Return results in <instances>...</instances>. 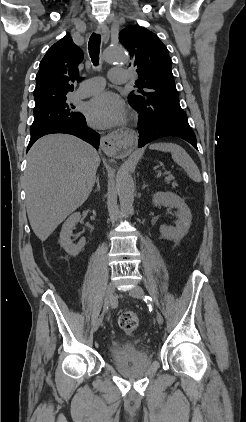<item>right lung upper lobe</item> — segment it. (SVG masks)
Segmentation results:
<instances>
[{
    "label": "right lung upper lobe",
    "mask_w": 246,
    "mask_h": 422,
    "mask_svg": "<svg viewBox=\"0 0 246 422\" xmlns=\"http://www.w3.org/2000/svg\"><path fill=\"white\" fill-rule=\"evenodd\" d=\"M83 59L82 50L66 35L47 51L39 65L34 90L35 108L65 99L73 91L78 65ZM81 80V79H79Z\"/></svg>",
    "instance_id": "1"
}]
</instances>
